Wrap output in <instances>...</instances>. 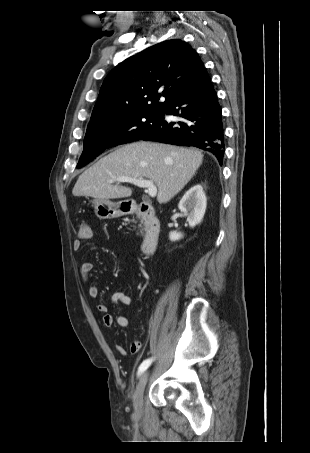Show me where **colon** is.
I'll return each mask as SVG.
<instances>
[{
	"mask_svg": "<svg viewBox=\"0 0 310 453\" xmlns=\"http://www.w3.org/2000/svg\"><path fill=\"white\" fill-rule=\"evenodd\" d=\"M79 235L81 238H88L91 236V227L84 223L80 226Z\"/></svg>",
	"mask_w": 310,
	"mask_h": 453,
	"instance_id": "1",
	"label": "colon"
}]
</instances>
